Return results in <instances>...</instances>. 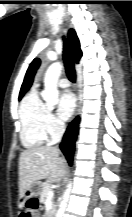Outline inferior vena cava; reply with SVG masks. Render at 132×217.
Here are the masks:
<instances>
[{"mask_svg": "<svg viewBox=\"0 0 132 217\" xmlns=\"http://www.w3.org/2000/svg\"><path fill=\"white\" fill-rule=\"evenodd\" d=\"M65 131V124L63 122H59L57 127V133L59 136H62Z\"/></svg>", "mask_w": 132, "mask_h": 217, "instance_id": "602c4592", "label": "inferior vena cava"}]
</instances>
